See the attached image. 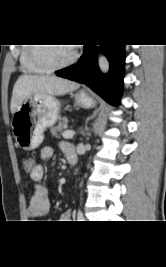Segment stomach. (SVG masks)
Here are the masks:
<instances>
[{
    "mask_svg": "<svg viewBox=\"0 0 166 267\" xmlns=\"http://www.w3.org/2000/svg\"><path fill=\"white\" fill-rule=\"evenodd\" d=\"M75 102L91 108L93 99L83 91L75 94ZM60 101L51 95H33L27 98L12 117V130L19 147L24 150L37 148L44 139V130L59 119Z\"/></svg>",
    "mask_w": 166,
    "mask_h": 267,
    "instance_id": "1",
    "label": "stomach"
}]
</instances>
